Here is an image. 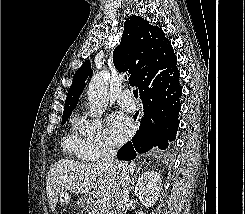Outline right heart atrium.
Wrapping results in <instances>:
<instances>
[{"mask_svg":"<svg viewBox=\"0 0 245 214\" xmlns=\"http://www.w3.org/2000/svg\"><path fill=\"white\" fill-rule=\"evenodd\" d=\"M74 130L81 158L95 161L113 152V146L100 120L80 115L75 120Z\"/></svg>","mask_w":245,"mask_h":214,"instance_id":"right-heart-atrium-1","label":"right heart atrium"}]
</instances>
